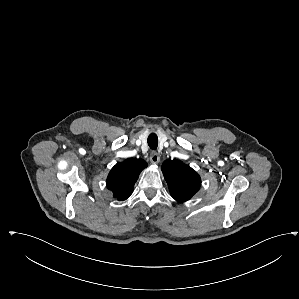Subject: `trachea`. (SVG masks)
I'll return each instance as SVG.
<instances>
[{
  "label": "trachea",
  "instance_id": "obj_1",
  "mask_svg": "<svg viewBox=\"0 0 299 299\" xmlns=\"http://www.w3.org/2000/svg\"><path fill=\"white\" fill-rule=\"evenodd\" d=\"M148 145L152 150H156L158 146V137L155 133H151L148 136Z\"/></svg>",
  "mask_w": 299,
  "mask_h": 299
}]
</instances>
